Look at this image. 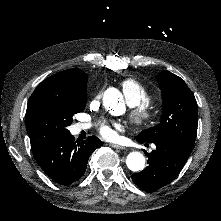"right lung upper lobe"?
Returning <instances> with one entry per match:
<instances>
[{
    "instance_id": "obj_1",
    "label": "right lung upper lobe",
    "mask_w": 221,
    "mask_h": 221,
    "mask_svg": "<svg viewBox=\"0 0 221 221\" xmlns=\"http://www.w3.org/2000/svg\"><path fill=\"white\" fill-rule=\"evenodd\" d=\"M87 75L80 69H68L46 78L37 89L46 88L64 95H78L87 90Z\"/></svg>"
}]
</instances>
